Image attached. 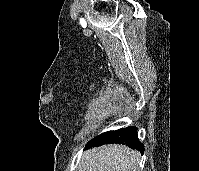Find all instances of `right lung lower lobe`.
<instances>
[{
    "instance_id": "obj_1",
    "label": "right lung lower lobe",
    "mask_w": 199,
    "mask_h": 171,
    "mask_svg": "<svg viewBox=\"0 0 199 171\" xmlns=\"http://www.w3.org/2000/svg\"><path fill=\"white\" fill-rule=\"evenodd\" d=\"M108 143L124 144L132 149L139 150L141 153L144 152V145L139 142L137 136V128L134 126L102 133L92 139L87 144L86 148L100 146Z\"/></svg>"
}]
</instances>
